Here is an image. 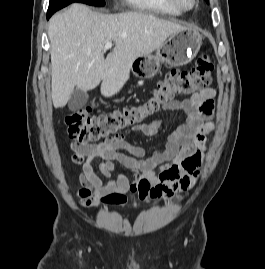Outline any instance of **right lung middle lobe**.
Returning a JSON list of instances; mask_svg holds the SVG:
<instances>
[{
    "label": "right lung middle lobe",
    "instance_id": "right-lung-middle-lobe-1",
    "mask_svg": "<svg viewBox=\"0 0 265 269\" xmlns=\"http://www.w3.org/2000/svg\"><path fill=\"white\" fill-rule=\"evenodd\" d=\"M73 2L85 3V4L93 5V6L105 5L104 0H50L49 5H57V4L73 3Z\"/></svg>",
    "mask_w": 265,
    "mask_h": 269
}]
</instances>
